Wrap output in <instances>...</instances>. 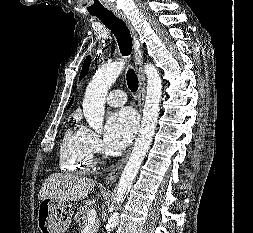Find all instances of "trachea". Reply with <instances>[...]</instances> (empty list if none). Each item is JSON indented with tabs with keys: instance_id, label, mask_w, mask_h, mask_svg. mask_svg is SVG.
<instances>
[{
	"instance_id": "obj_1",
	"label": "trachea",
	"mask_w": 253,
	"mask_h": 233,
	"mask_svg": "<svg viewBox=\"0 0 253 233\" xmlns=\"http://www.w3.org/2000/svg\"><path fill=\"white\" fill-rule=\"evenodd\" d=\"M101 20V22L111 30L115 35L120 52L123 56H128L132 50V38L126 24L117 18L112 12H103L93 14ZM127 85L132 92L138 89V78L133 69H129L126 74Z\"/></svg>"
}]
</instances>
